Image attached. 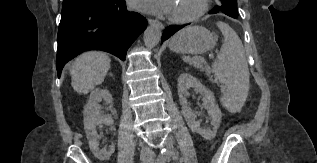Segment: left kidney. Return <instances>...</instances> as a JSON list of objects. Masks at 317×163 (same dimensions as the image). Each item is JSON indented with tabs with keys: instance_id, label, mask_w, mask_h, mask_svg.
Wrapping results in <instances>:
<instances>
[{
	"instance_id": "left-kidney-1",
	"label": "left kidney",
	"mask_w": 317,
	"mask_h": 163,
	"mask_svg": "<svg viewBox=\"0 0 317 163\" xmlns=\"http://www.w3.org/2000/svg\"><path fill=\"white\" fill-rule=\"evenodd\" d=\"M194 88L196 92L203 95V107L207 110L211 119L212 128H202L197 116L192 112L187 103L188 90ZM178 95L182 107V114L189 128L205 139H213L221 123L222 113L215 103L213 93L207 89L197 78L188 73H182L178 78Z\"/></svg>"
}]
</instances>
